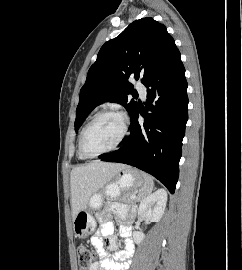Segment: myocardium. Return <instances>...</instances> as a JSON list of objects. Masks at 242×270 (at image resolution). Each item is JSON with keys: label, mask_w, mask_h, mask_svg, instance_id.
Returning a JSON list of instances; mask_svg holds the SVG:
<instances>
[{"label": "myocardium", "mask_w": 242, "mask_h": 270, "mask_svg": "<svg viewBox=\"0 0 242 270\" xmlns=\"http://www.w3.org/2000/svg\"><path fill=\"white\" fill-rule=\"evenodd\" d=\"M107 115H115V116H118V117L121 118V120H122V133H121V136L119 137V139L117 140V142L114 145H112L110 148L105 149L103 151H100L98 153H93V154L92 153H88L85 150V147H84V140H85L86 134L89 131V129L92 127V125L98 119H100L103 116H107ZM128 131H129L128 118H127V116L122 111H119V110H116V109H105V110H102V111L98 112L97 114H95L93 116V118L83 128V130L81 132V135H80V138H79V144H78L79 152L85 158H95V157H98V156H101V155L110 153V152L116 150L124 142V140L126 139V137L128 135Z\"/></svg>", "instance_id": "myocardium-1"}]
</instances>
